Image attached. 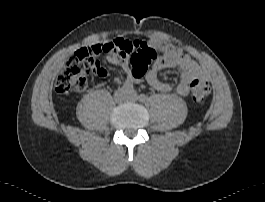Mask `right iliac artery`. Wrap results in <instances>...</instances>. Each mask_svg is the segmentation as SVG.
Listing matches in <instances>:
<instances>
[{"label":"right iliac artery","instance_id":"1","mask_svg":"<svg viewBox=\"0 0 265 202\" xmlns=\"http://www.w3.org/2000/svg\"><path fill=\"white\" fill-rule=\"evenodd\" d=\"M122 89L125 90L126 92L134 91L133 84L129 81L124 82V84L122 85Z\"/></svg>","mask_w":265,"mask_h":202}]
</instances>
